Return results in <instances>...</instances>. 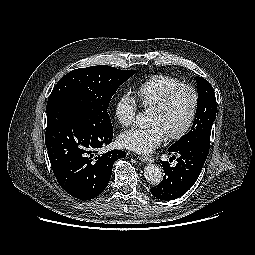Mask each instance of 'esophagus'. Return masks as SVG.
<instances>
[{
    "instance_id": "esophagus-1",
    "label": "esophagus",
    "mask_w": 255,
    "mask_h": 255,
    "mask_svg": "<svg viewBox=\"0 0 255 255\" xmlns=\"http://www.w3.org/2000/svg\"><path fill=\"white\" fill-rule=\"evenodd\" d=\"M139 160L146 163H152L154 161V158L151 156H140Z\"/></svg>"
}]
</instances>
